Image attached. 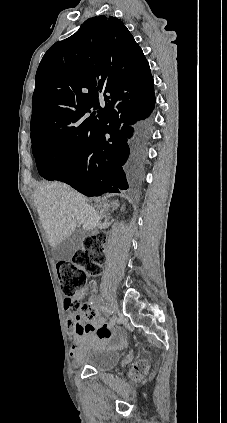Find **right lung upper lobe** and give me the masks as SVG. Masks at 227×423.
<instances>
[{"instance_id": "1", "label": "right lung upper lobe", "mask_w": 227, "mask_h": 423, "mask_svg": "<svg viewBox=\"0 0 227 423\" xmlns=\"http://www.w3.org/2000/svg\"><path fill=\"white\" fill-rule=\"evenodd\" d=\"M153 90L149 64L122 21L90 18L42 58L32 98L31 141L55 135L92 138L112 104Z\"/></svg>"}]
</instances>
